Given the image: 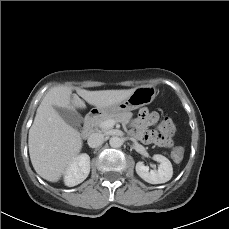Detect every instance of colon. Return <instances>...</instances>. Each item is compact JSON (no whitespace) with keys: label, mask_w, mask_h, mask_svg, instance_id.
Returning <instances> with one entry per match:
<instances>
[{"label":"colon","mask_w":229,"mask_h":229,"mask_svg":"<svg viewBox=\"0 0 229 229\" xmlns=\"http://www.w3.org/2000/svg\"><path fill=\"white\" fill-rule=\"evenodd\" d=\"M174 132L175 125L172 120L170 118H164L154 131V138L156 139L158 144L164 147H172V136L174 135ZM183 155V151L179 149H175L172 152V157L175 161L182 160Z\"/></svg>","instance_id":"5ec220e1"}]
</instances>
